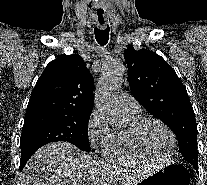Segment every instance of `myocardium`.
I'll return each instance as SVG.
<instances>
[{"label":"myocardium","mask_w":207,"mask_h":185,"mask_svg":"<svg viewBox=\"0 0 207 185\" xmlns=\"http://www.w3.org/2000/svg\"><path fill=\"white\" fill-rule=\"evenodd\" d=\"M149 123H156L159 124L160 126H162L170 135L171 140H172V152L171 154L165 158V159H156L153 156H151L144 143H143V139H142V133L143 130L145 129V127L149 124ZM130 138L133 142V144L135 145V147L138 149V151L145 156L147 159H149L150 161L156 163V164H166L169 163L170 161H172L176 155L177 152V148H178V142H177V138L176 135L174 133V131L172 130V128L165 123L164 121H162L161 119L158 118H141L140 120H138L136 123H134L130 129Z\"/></svg>","instance_id":"obj_1"}]
</instances>
